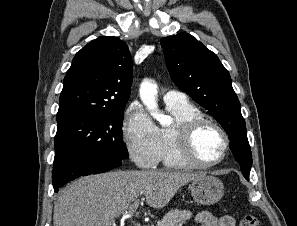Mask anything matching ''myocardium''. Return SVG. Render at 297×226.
<instances>
[{
	"label": "myocardium",
	"instance_id": "1",
	"mask_svg": "<svg viewBox=\"0 0 297 226\" xmlns=\"http://www.w3.org/2000/svg\"><path fill=\"white\" fill-rule=\"evenodd\" d=\"M206 125L213 126L217 129L224 141L220 156L210 162L201 161L194 152L195 135ZM173 136L179 155L191 166L201 169L211 168L220 164L226 157L230 145V138L226 130L217 121L206 117H197L177 124L174 127Z\"/></svg>",
	"mask_w": 297,
	"mask_h": 226
}]
</instances>
